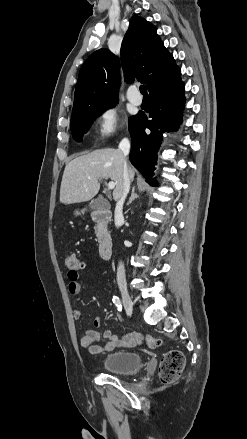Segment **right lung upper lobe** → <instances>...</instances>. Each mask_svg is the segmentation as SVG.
Here are the masks:
<instances>
[{"label": "right lung upper lobe", "mask_w": 247, "mask_h": 439, "mask_svg": "<svg viewBox=\"0 0 247 439\" xmlns=\"http://www.w3.org/2000/svg\"><path fill=\"white\" fill-rule=\"evenodd\" d=\"M125 81L145 83L150 95L180 82L181 69L164 47L156 27L134 17L121 46ZM119 64L108 49L92 53L82 65L75 88L72 116L118 101Z\"/></svg>", "instance_id": "cb5924a9"}]
</instances>
